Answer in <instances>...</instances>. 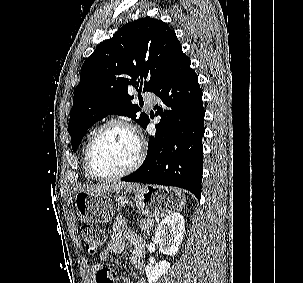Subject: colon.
<instances>
[{
  "mask_svg": "<svg viewBox=\"0 0 303 283\" xmlns=\"http://www.w3.org/2000/svg\"><path fill=\"white\" fill-rule=\"evenodd\" d=\"M80 236L84 248L89 254H97L105 242L106 234L104 231L96 229L92 225H83L80 229ZM118 277L115 271L109 268H101L96 273V283H117Z\"/></svg>",
  "mask_w": 303,
  "mask_h": 283,
  "instance_id": "obj_1",
  "label": "colon"
}]
</instances>
